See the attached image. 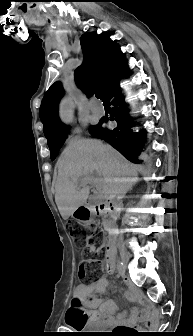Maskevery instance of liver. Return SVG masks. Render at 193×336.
<instances>
[{"label":"liver","mask_w":193,"mask_h":336,"mask_svg":"<svg viewBox=\"0 0 193 336\" xmlns=\"http://www.w3.org/2000/svg\"><path fill=\"white\" fill-rule=\"evenodd\" d=\"M57 168L55 202L64 220L86 204L90 194L88 175L92 172L101 177L94 183L99 196L105 199L124 196L139 180L137 166L110 145L93 139L71 142L58 159Z\"/></svg>","instance_id":"6515ba94"}]
</instances>
